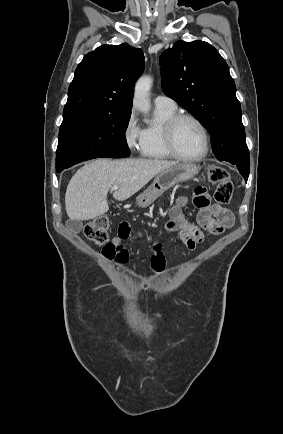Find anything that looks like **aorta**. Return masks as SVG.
Here are the masks:
<instances>
[{
  "label": "aorta",
  "mask_w": 283,
  "mask_h": 434,
  "mask_svg": "<svg viewBox=\"0 0 283 434\" xmlns=\"http://www.w3.org/2000/svg\"><path fill=\"white\" fill-rule=\"evenodd\" d=\"M152 82L150 76H142L135 85L133 105L141 111H148L150 108L149 92Z\"/></svg>",
  "instance_id": "aorta-1"
}]
</instances>
